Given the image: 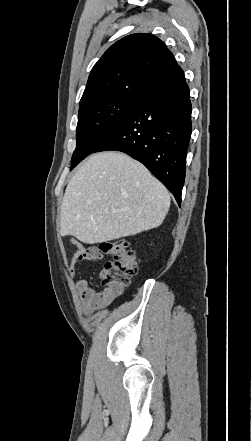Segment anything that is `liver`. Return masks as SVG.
<instances>
[{"label":"liver","instance_id":"1","mask_svg":"<svg viewBox=\"0 0 251 441\" xmlns=\"http://www.w3.org/2000/svg\"><path fill=\"white\" fill-rule=\"evenodd\" d=\"M170 195L148 169L120 152L90 156L68 183L60 234L86 244L111 241L160 226Z\"/></svg>","mask_w":251,"mask_h":441}]
</instances>
